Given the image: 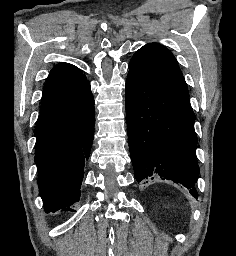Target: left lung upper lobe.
<instances>
[{
    "mask_svg": "<svg viewBox=\"0 0 236 256\" xmlns=\"http://www.w3.org/2000/svg\"><path fill=\"white\" fill-rule=\"evenodd\" d=\"M130 71L189 98L184 77L173 54L156 43L140 48L132 57Z\"/></svg>",
    "mask_w": 236,
    "mask_h": 256,
    "instance_id": "5c2ea615",
    "label": "left lung upper lobe"
}]
</instances>
